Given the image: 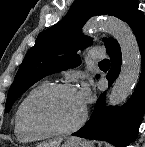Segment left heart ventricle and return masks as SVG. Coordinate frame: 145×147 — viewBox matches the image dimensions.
<instances>
[{
  "mask_svg": "<svg viewBox=\"0 0 145 147\" xmlns=\"http://www.w3.org/2000/svg\"><path fill=\"white\" fill-rule=\"evenodd\" d=\"M84 106L76 90L61 91L42 100L37 111L54 125L65 128L75 124L82 116Z\"/></svg>",
  "mask_w": 145,
  "mask_h": 147,
  "instance_id": "left-heart-ventricle-1",
  "label": "left heart ventricle"
}]
</instances>
